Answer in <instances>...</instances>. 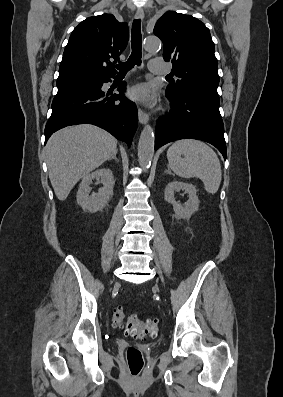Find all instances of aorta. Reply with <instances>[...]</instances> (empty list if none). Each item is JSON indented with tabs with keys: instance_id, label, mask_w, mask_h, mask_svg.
<instances>
[{
	"instance_id": "aorta-1",
	"label": "aorta",
	"mask_w": 283,
	"mask_h": 397,
	"mask_svg": "<svg viewBox=\"0 0 283 397\" xmlns=\"http://www.w3.org/2000/svg\"><path fill=\"white\" fill-rule=\"evenodd\" d=\"M161 42L156 37H147L144 42V48L146 51H155L159 49ZM154 131L153 128L147 124L143 128L140 139L138 142V161L142 169H146L150 166L154 155Z\"/></svg>"
}]
</instances>
